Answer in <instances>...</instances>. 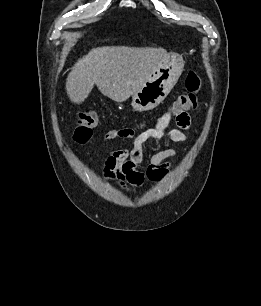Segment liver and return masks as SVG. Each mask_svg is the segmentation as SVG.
<instances>
[{
  "instance_id": "obj_1",
  "label": "liver",
  "mask_w": 261,
  "mask_h": 306,
  "mask_svg": "<svg viewBox=\"0 0 261 306\" xmlns=\"http://www.w3.org/2000/svg\"><path fill=\"white\" fill-rule=\"evenodd\" d=\"M168 56L163 48H93L72 67L66 81L67 95L72 102L80 104L96 84L104 96L116 102L126 101Z\"/></svg>"
}]
</instances>
